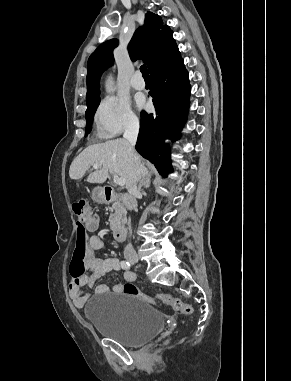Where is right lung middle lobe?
<instances>
[{
	"label": "right lung middle lobe",
	"instance_id": "obj_1",
	"mask_svg": "<svg viewBox=\"0 0 291 381\" xmlns=\"http://www.w3.org/2000/svg\"><path fill=\"white\" fill-rule=\"evenodd\" d=\"M100 98L87 104V110L85 112L86 117V133L85 136L88 135V133L91 131V124L94 117V113L99 105Z\"/></svg>",
	"mask_w": 291,
	"mask_h": 381
}]
</instances>
